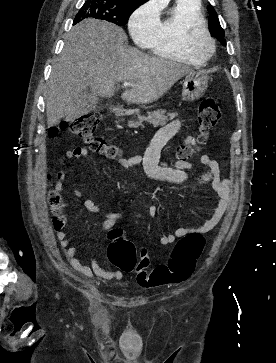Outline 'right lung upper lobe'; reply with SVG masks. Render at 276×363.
<instances>
[{"label": "right lung upper lobe", "mask_w": 276, "mask_h": 363, "mask_svg": "<svg viewBox=\"0 0 276 363\" xmlns=\"http://www.w3.org/2000/svg\"><path fill=\"white\" fill-rule=\"evenodd\" d=\"M112 1H118V2H125V3H135V4H141L145 2L146 0H112Z\"/></svg>", "instance_id": "obj_1"}]
</instances>
